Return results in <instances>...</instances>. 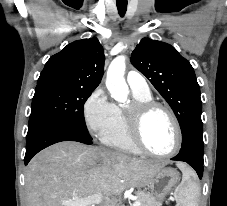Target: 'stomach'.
<instances>
[{
	"label": "stomach",
	"mask_w": 227,
	"mask_h": 206,
	"mask_svg": "<svg viewBox=\"0 0 227 206\" xmlns=\"http://www.w3.org/2000/svg\"><path fill=\"white\" fill-rule=\"evenodd\" d=\"M179 180V174L175 169L164 167L156 173L149 183V187L157 199L163 200L178 184Z\"/></svg>",
	"instance_id": "stomach-1"
}]
</instances>
